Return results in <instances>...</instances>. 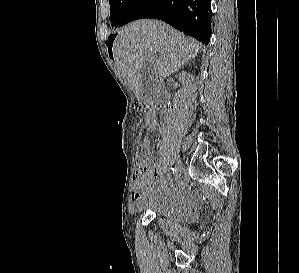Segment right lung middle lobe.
<instances>
[{"mask_svg": "<svg viewBox=\"0 0 299 273\" xmlns=\"http://www.w3.org/2000/svg\"><path fill=\"white\" fill-rule=\"evenodd\" d=\"M135 0H109L110 3V20L112 26L120 24L129 7Z\"/></svg>", "mask_w": 299, "mask_h": 273, "instance_id": "right-lung-middle-lobe-1", "label": "right lung middle lobe"}]
</instances>
